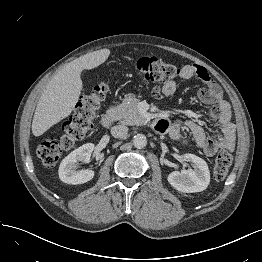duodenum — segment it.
Masks as SVG:
<instances>
[{"instance_id": "410a0bca", "label": "duodenum", "mask_w": 262, "mask_h": 262, "mask_svg": "<svg viewBox=\"0 0 262 262\" xmlns=\"http://www.w3.org/2000/svg\"><path fill=\"white\" fill-rule=\"evenodd\" d=\"M117 113L115 111L107 112L101 117V124L104 127H110L116 120Z\"/></svg>"}]
</instances>
